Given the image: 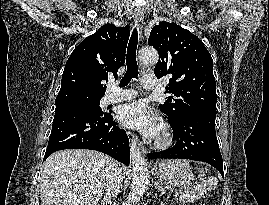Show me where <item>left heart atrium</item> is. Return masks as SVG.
Returning <instances> with one entry per match:
<instances>
[{"label": "left heart atrium", "instance_id": "39dd6f15", "mask_svg": "<svg viewBox=\"0 0 269 205\" xmlns=\"http://www.w3.org/2000/svg\"><path fill=\"white\" fill-rule=\"evenodd\" d=\"M118 119L123 126L138 129L147 137H155L159 132L156 117L141 100L123 105L118 112Z\"/></svg>", "mask_w": 269, "mask_h": 205}]
</instances>
